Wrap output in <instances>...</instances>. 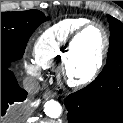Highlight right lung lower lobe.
Wrapping results in <instances>:
<instances>
[{
	"instance_id": "1",
	"label": "right lung lower lobe",
	"mask_w": 123,
	"mask_h": 123,
	"mask_svg": "<svg viewBox=\"0 0 123 123\" xmlns=\"http://www.w3.org/2000/svg\"><path fill=\"white\" fill-rule=\"evenodd\" d=\"M27 92L22 89L8 66H1V116L15 102H22L26 99Z\"/></svg>"
}]
</instances>
